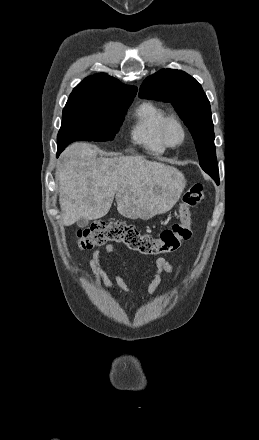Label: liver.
<instances>
[{"instance_id":"1","label":"liver","mask_w":259,"mask_h":440,"mask_svg":"<svg viewBox=\"0 0 259 440\" xmlns=\"http://www.w3.org/2000/svg\"><path fill=\"white\" fill-rule=\"evenodd\" d=\"M98 154L88 143H74L63 153L56 179L65 226L104 217L114 197L122 216L143 220L168 212L178 201L184 179L174 167L140 156Z\"/></svg>"}]
</instances>
